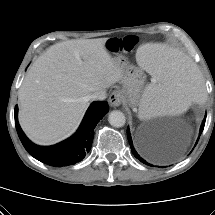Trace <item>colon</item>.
Masks as SVG:
<instances>
[{
  "mask_svg": "<svg viewBox=\"0 0 215 215\" xmlns=\"http://www.w3.org/2000/svg\"><path fill=\"white\" fill-rule=\"evenodd\" d=\"M137 41V37L134 35L126 36L123 39L119 37H112L105 41L104 48L109 53L120 51L123 54H130L133 52Z\"/></svg>",
  "mask_w": 215,
  "mask_h": 215,
  "instance_id": "obj_1",
  "label": "colon"
}]
</instances>
